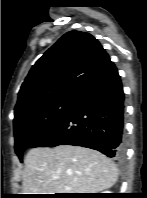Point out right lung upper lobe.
Returning <instances> with one entry per match:
<instances>
[{"label":"right lung upper lobe","mask_w":147,"mask_h":198,"mask_svg":"<svg viewBox=\"0 0 147 198\" xmlns=\"http://www.w3.org/2000/svg\"><path fill=\"white\" fill-rule=\"evenodd\" d=\"M111 63L91 34L67 32L30 70L18 94L14 120L51 101L76 100Z\"/></svg>","instance_id":"obj_1"}]
</instances>
